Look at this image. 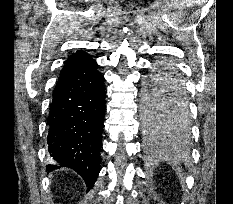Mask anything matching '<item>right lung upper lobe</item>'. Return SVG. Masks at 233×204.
I'll list each match as a JSON object with an SVG mask.
<instances>
[{"mask_svg": "<svg viewBox=\"0 0 233 204\" xmlns=\"http://www.w3.org/2000/svg\"><path fill=\"white\" fill-rule=\"evenodd\" d=\"M75 63H84V64H92L95 63V60L91 58L90 55L86 54L82 50H78L76 53L70 55L65 62V65L60 73V76L62 75V72L69 66L75 64Z\"/></svg>", "mask_w": 233, "mask_h": 204, "instance_id": "right-lung-upper-lobe-1", "label": "right lung upper lobe"}]
</instances>
